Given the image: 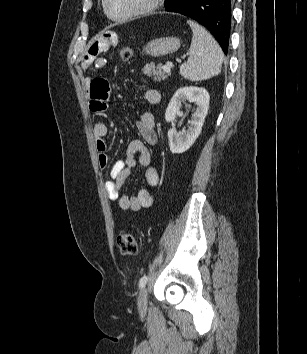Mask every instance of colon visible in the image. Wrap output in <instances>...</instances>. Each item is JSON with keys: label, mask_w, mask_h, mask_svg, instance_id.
<instances>
[{"label": "colon", "mask_w": 307, "mask_h": 354, "mask_svg": "<svg viewBox=\"0 0 307 354\" xmlns=\"http://www.w3.org/2000/svg\"><path fill=\"white\" fill-rule=\"evenodd\" d=\"M133 51L130 47H123L120 52L121 59L128 61L131 59ZM117 244L123 255H135L138 251V243L134 235L128 232H122L117 237Z\"/></svg>", "instance_id": "5ec220e1"}]
</instances>
